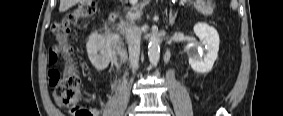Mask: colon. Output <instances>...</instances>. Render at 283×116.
Instances as JSON below:
<instances>
[{"mask_svg":"<svg viewBox=\"0 0 283 116\" xmlns=\"http://www.w3.org/2000/svg\"><path fill=\"white\" fill-rule=\"evenodd\" d=\"M95 11V1L82 0L52 27L57 44L51 53L55 58L60 57L64 61V70L62 74L49 75V84L54 89L56 103L62 107H73L74 116H91L92 110L85 106H76L81 99L80 79L70 59L72 49L68 43V36L72 25L92 16Z\"/></svg>","mask_w":283,"mask_h":116,"instance_id":"1","label":"colon"}]
</instances>
